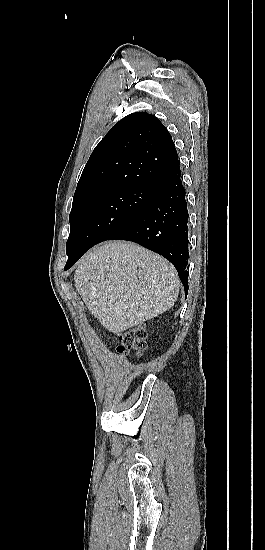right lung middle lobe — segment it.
I'll list each match as a JSON object with an SVG mask.
<instances>
[{
    "label": "right lung middle lobe",
    "instance_id": "dd1d6c3e",
    "mask_svg": "<svg viewBox=\"0 0 265 550\" xmlns=\"http://www.w3.org/2000/svg\"><path fill=\"white\" fill-rule=\"evenodd\" d=\"M156 188L157 185H136L73 203L65 267H71L92 246L132 223L147 207Z\"/></svg>",
    "mask_w": 265,
    "mask_h": 550
}]
</instances>
